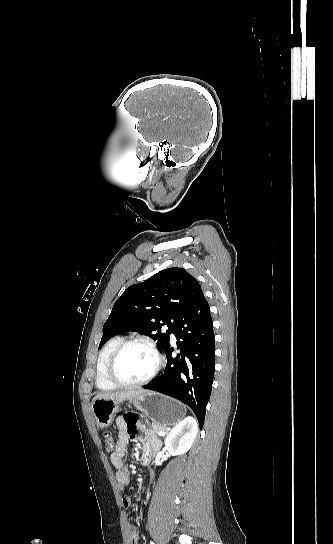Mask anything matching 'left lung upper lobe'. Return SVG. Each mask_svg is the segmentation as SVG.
I'll list each match as a JSON object with an SVG mask.
<instances>
[{"mask_svg":"<svg viewBox=\"0 0 333 544\" xmlns=\"http://www.w3.org/2000/svg\"><path fill=\"white\" fill-rule=\"evenodd\" d=\"M202 294L198 281L178 267L164 269L128 287L113 305L99 347L112 336L131 330L157 340L164 350L177 322ZM163 326H168L166 332Z\"/></svg>","mask_w":333,"mask_h":544,"instance_id":"obj_1","label":"left lung upper lobe"}]
</instances>
